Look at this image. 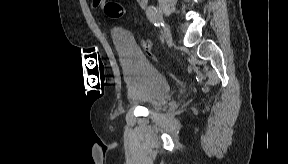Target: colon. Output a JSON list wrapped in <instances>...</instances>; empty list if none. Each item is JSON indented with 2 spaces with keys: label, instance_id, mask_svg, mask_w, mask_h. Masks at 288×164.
<instances>
[{
  "label": "colon",
  "instance_id": "1",
  "mask_svg": "<svg viewBox=\"0 0 288 164\" xmlns=\"http://www.w3.org/2000/svg\"><path fill=\"white\" fill-rule=\"evenodd\" d=\"M105 12L110 18L116 19L117 17L123 16V14L125 13V10L120 3L113 1V2H109L105 6ZM142 44L145 47V49H143V52H147L146 53L147 55H150V57L152 58H156V55L153 52H150V49H151V46H153V43H150L147 39H143Z\"/></svg>",
  "mask_w": 288,
  "mask_h": 164
}]
</instances>
